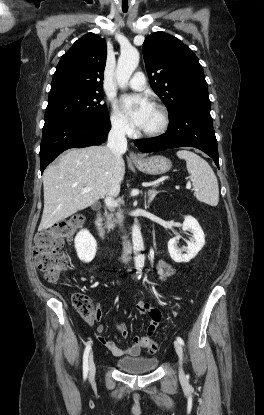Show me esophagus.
Masks as SVG:
<instances>
[{
	"label": "esophagus",
	"instance_id": "1",
	"mask_svg": "<svg viewBox=\"0 0 264 415\" xmlns=\"http://www.w3.org/2000/svg\"><path fill=\"white\" fill-rule=\"evenodd\" d=\"M129 159L133 162H137L140 160V156L135 152H131L129 155Z\"/></svg>",
	"mask_w": 264,
	"mask_h": 415
}]
</instances>
